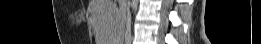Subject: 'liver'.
I'll return each mask as SVG.
<instances>
[{
  "instance_id": "obj_1",
  "label": "liver",
  "mask_w": 261,
  "mask_h": 44,
  "mask_svg": "<svg viewBox=\"0 0 261 44\" xmlns=\"http://www.w3.org/2000/svg\"><path fill=\"white\" fill-rule=\"evenodd\" d=\"M112 5V0H91L88 11L91 13L93 24H124V19H120L119 8ZM101 13V14H100ZM93 30H97V44H120L123 40L122 30L119 25H93Z\"/></svg>"
}]
</instances>
